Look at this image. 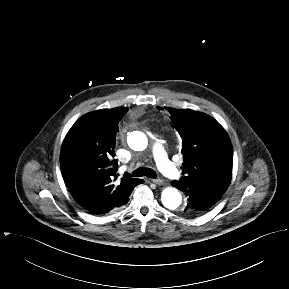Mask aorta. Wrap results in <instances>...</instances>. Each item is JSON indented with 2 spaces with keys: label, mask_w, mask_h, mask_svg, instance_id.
Instances as JSON below:
<instances>
[{
  "label": "aorta",
  "mask_w": 289,
  "mask_h": 289,
  "mask_svg": "<svg viewBox=\"0 0 289 289\" xmlns=\"http://www.w3.org/2000/svg\"><path fill=\"white\" fill-rule=\"evenodd\" d=\"M128 145L135 151H142L147 147L148 140L144 133L133 132L127 139ZM161 201L169 210H176L182 202V196L176 188L168 187L162 191Z\"/></svg>",
  "instance_id": "1"
}]
</instances>
